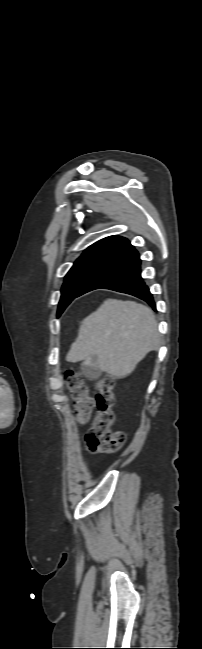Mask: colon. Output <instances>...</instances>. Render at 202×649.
<instances>
[{"label": "colon", "mask_w": 202, "mask_h": 649, "mask_svg": "<svg viewBox=\"0 0 202 649\" xmlns=\"http://www.w3.org/2000/svg\"><path fill=\"white\" fill-rule=\"evenodd\" d=\"M65 380L75 402L74 416L80 425H84L91 415L95 401L89 396L84 380L79 373L69 370L65 373ZM114 387V380L110 377H104L97 383V412L85 437L86 445L92 452L113 453L119 450L125 442L123 432L112 430L116 421L113 410Z\"/></svg>", "instance_id": "5ec220e1"}]
</instances>
